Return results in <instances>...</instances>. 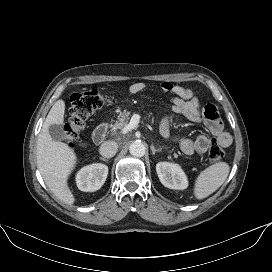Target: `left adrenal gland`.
I'll return each instance as SVG.
<instances>
[{"label":"left adrenal gland","mask_w":272,"mask_h":272,"mask_svg":"<svg viewBox=\"0 0 272 272\" xmlns=\"http://www.w3.org/2000/svg\"><path fill=\"white\" fill-rule=\"evenodd\" d=\"M151 151H152V154L155 155L156 152H161L162 148L156 149L153 145H151Z\"/></svg>","instance_id":"left-adrenal-gland-1"}]
</instances>
